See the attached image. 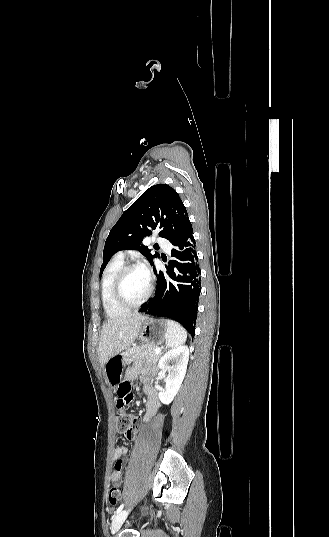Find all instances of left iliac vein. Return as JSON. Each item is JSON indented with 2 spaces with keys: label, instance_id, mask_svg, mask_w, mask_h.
<instances>
[{
  "label": "left iliac vein",
  "instance_id": "4c4485c4",
  "mask_svg": "<svg viewBox=\"0 0 329 537\" xmlns=\"http://www.w3.org/2000/svg\"><path fill=\"white\" fill-rule=\"evenodd\" d=\"M129 511H130V509L123 510V511L119 512L113 518L112 523H111V533L112 534H115L120 529V527L122 526L123 522L126 520L128 514H129Z\"/></svg>",
  "mask_w": 329,
  "mask_h": 537
}]
</instances>
